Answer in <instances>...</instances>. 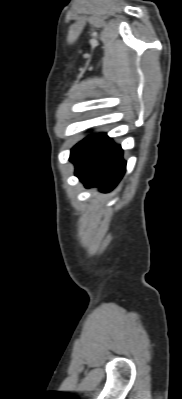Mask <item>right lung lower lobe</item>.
<instances>
[{
  "mask_svg": "<svg viewBox=\"0 0 182 399\" xmlns=\"http://www.w3.org/2000/svg\"><path fill=\"white\" fill-rule=\"evenodd\" d=\"M120 145L105 133L91 135L72 148L70 161L75 175L86 187L98 186L103 192L112 190L126 170Z\"/></svg>",
  "mask_w": 182,
  "mask_h": 399,
  "instance_id": "right-lung-lower-lobe-1",
  "label": "right lung lower lobe"
}]
</instances>
